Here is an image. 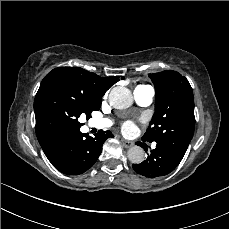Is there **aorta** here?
<instances>
[{"label":"aorta","instance_id":"762f6f07","mask_svg":"<svg viewBox=\"0 0 229 229\" xmlns=\"http://www.w3.org/2000/svg\"><path fill=\"white\" fill-rule=\"evenodd\" d=\"M109 103L116 109H126L133 104V95L128 88L117 86L109 94ZM127 156L132 163L140 164L144 161L145 151L139 146H133L128 150Z\"/></svg>","mask_w":229,"mask_h":229}]
</instances>
